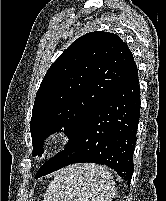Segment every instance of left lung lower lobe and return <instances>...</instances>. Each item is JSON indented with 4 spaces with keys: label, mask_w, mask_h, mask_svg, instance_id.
<instances>
[{
    "label": "left lung lower lobe",
    "mask_w": 166,
    "mask_h": 201,
    "mask_svg": "<svg viewBox=\"0 0 166 201\" xmlns=\"http://www.w3.org/2000/svg\"><path fill=\"white\" fill-rule=\"evenodd\" d=\"M140 118L136 63L69 138L66 148L37 171L40 178L65 166L90 162L114 169L129 185Z\"/></svg>",
    "instance_id": "0a47b994"
}]
</instances>
